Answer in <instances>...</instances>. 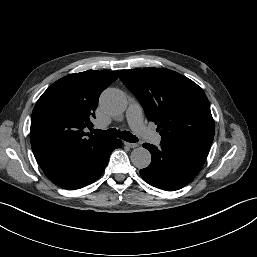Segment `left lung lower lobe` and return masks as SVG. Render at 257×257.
I'll list each match as a JSON object with an SVG mask.
<instances>
[{"mask_svg":"<svg viewBox=\"0 0 257 257\" xmlns=\"http://www.w3.org/2000/svg\"><path fill=\"white\" fill-rule=\"evenodd\" d=\"M152 155L151 164L140 170L150 185L174 191L186 186L199 173L206 160L210 143L161 142L160 147L145 143Z\"/></svg>","mask_w":257,"mask_h":257,"instance_id":"left-lung-lower-lobe-1","label":"left lung lower lobe"}]
</instances>
